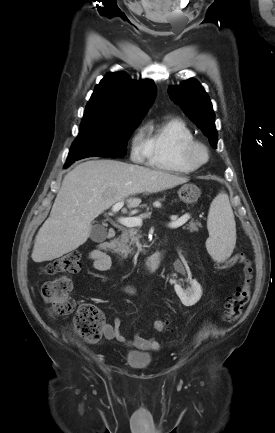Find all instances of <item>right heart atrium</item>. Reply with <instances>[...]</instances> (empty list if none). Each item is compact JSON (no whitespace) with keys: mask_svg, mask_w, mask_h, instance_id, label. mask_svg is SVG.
Segmentation results:
<instances>
[{"mask_svg":"<svg viewBox=\"0 0 275 433\" xmlns=\"http://www.w3.org/2000/svg\"><path fill=\"white\" fill-rule=\"evenodd\" d=\"M131 159L135 162H142L147 158L146 141L141 130L137 131L131 139Z\"/></svg>","mask_w":275,"mask_h":433,"instance_id":"obj_1","label":"right heart atrium"}]
</instances>
